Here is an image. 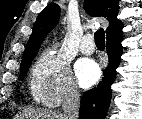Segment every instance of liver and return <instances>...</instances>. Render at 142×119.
I'll list each match as a JSON object with an SVG mask.
<instances>
[{"instance_id":"obj_1","label":"liver","mask_w":142,"mask_h":119,"mask_svg":"<svg viewBox=\"0 0 142 119\" xmlns=\"http://www.w3.org/2000/svg\"><path fill=\"white\" fill-rule=\"evenodd\" d=\"M64 119L62 114L44 110V109H27L20 115V119Z\"/></svg>"}]
</instances>
